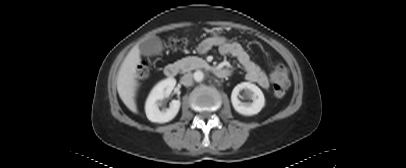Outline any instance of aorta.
Returning <instances> with one entry per match:
<instances>
[{"instance_id": "1", "label": "aorta", "mask_w": 406, "mask_h": 168, "mask_svg": "<svg viewBox=\"0 0 406 168\" xmlns=\"http://www.w3.org/2000/svg\"><path fill=\"white\" fill-rule=\"evenodd\" d=\"M203 78H204V74H203L202 71L198 70V71H196V72L194 73V79H195V81L201 82V81L203 80Z\"/></svg>"}]
</instances>
